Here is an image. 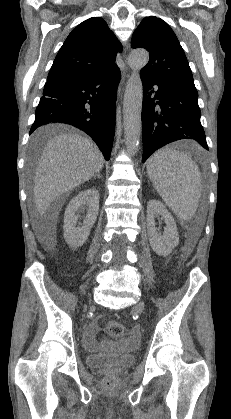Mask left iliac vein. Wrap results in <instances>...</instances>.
I'll list each match as a JSON object with an SVG mask.
<instances>
[{
    "mask_svg": "<svg viewBox=\"0 0 231 419\" xmlns=\"http://www.w3.org/2000/svg\"><path fill=\"white\" fill-rule=\"evenodd\" d=\"M143 307H144L143 303L139 302L138 304L134 306V310L138 313H142Z\"/></svg>",
    "mask_w": 231,
    "mask_h": 419,
    "instance_id": "obj_1",
    "label": "left iliac vein"
}]
</instances>
